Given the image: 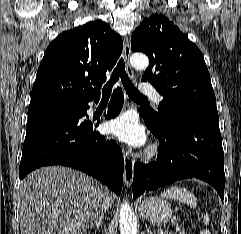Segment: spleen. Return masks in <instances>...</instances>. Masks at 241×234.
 <instances>
[{
	"instance_id": "1",
	"label": "spleen",
	"mask_w": 241,
	"mask_h": 234,
	"mask_svg": "<svg viewBox=\"0 0 241 234\" xmlns=\"http://www.w3.org/2000/svg\"><path fill=\"white\" fill-rule=\"evenodd\" d=\"M161 196L168 199H174L186 203L190 207H195L197 205L196 197L188 190L182 187L173 186L169 187L161 193ZM204 224L209 223L208 215L203 218ZM201 234H210V231L203 230Z\"/></svg>"
}]
</instances>
